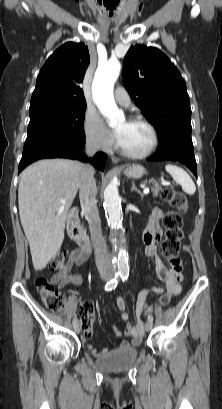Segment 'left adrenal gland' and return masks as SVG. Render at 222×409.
<instances>
[{
  "instance_id": "1",
  "label": "left adrenal gland",
  "mask_w": 222,
  "mask_h": 409,
  "mask_svg": "<svg viewBox=\"0 0 222 409\" xmlns=\"http://www.w3.org/2000/svg\"><path fill=\"white\" fill-rule=\"evenodd\" d=\"M136 191L140 196H141V198H143V193L135 186V184L134 183H132V187H131V191Z\"/></svg>"
}]
</instances>
